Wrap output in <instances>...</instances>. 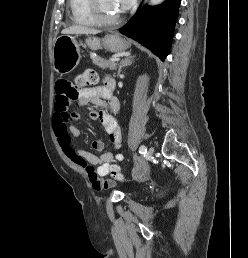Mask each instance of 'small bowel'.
<instances>
[{
  "label": "small bowel",
  "mask_w": 248,
  "mask_h": 258,
  "mask_svg": "<svg viewBox=\"0 0 248 258\" xmlns=\"http://www.w3.org/2000/svg\"><path fill=\"white\" fill-rule=\"evenodd\" d=\"M110 85L111 81L109 80L108 85L85 88L79 92L76 98H73L69 81L59 80L56 84V100L52 118L53 130L65 155L73 163L85 170L95 191L109 190L110 187H113L114 183L111 178L104 176L110 173L113 166H118L123 161L124 155L122 153L105 152L98 157L75 146L72 142V137L79 135V129L75 126L79 119V113L70 110V106L77 99L78 108H83L88 103H92L106 106L114 113L118 112L120 104L113 97ZM90 117L101 121L113 145V149L119 150L122 144V130L115 117L107 111H92ZM92 148L97 152H101L104 149V143L101 140H96L92 143Z\"/></svg>",
  "instance_id": "c3829d8e"
}]
</instances>
